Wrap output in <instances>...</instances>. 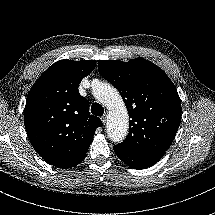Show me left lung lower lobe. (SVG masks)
<instances>
[{"label": "left lung lower lobe", "instance_id": "0a47b994", "mask_svg": "<svg viewBox=\"0 0 215 215\" xmlns=\"http://www.w3.org/2000/svg\"><path fill=\"white\" fill-rule=\"evenodd\" d=\"M116 155L127 165L134 169H145L157 163L165 152L159 153H135L124 150L119 146L113 147Z\"/></svg>", "mask_w": 215, "mask_h": 215}]
</instances>
